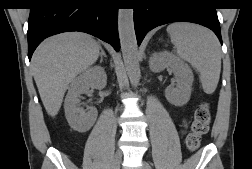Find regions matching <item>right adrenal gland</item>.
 <instances>
[{
    "label": "right adrenal gland",
    "instance_id": "2a0ac1e0",
    "mask_svg": "<svg viewBox=\"0 0 252 169\" xmlns=\"http://www.w3.org/2000/svg\"><path fill=\"white\" fill-rule=\"evenodd\" d=\"M104 58H107V55H106L105 51L102 49L101 55H100V64H102Z\"/></svg>",
    "mask_w": 252,
    "mask_h": 169
}]
</instances>
